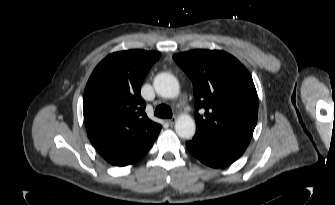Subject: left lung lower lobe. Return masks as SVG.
Wrapping results in <instances>:
<instances>
[{
  "mask_svg": "<svg viewBox=\"0 0 335 205\" xmlns=\"http://www.w3.org/2000/svg\"><path fill=\"white\" fill-rule=\"evenodd\" d=\"M186 147L194 157L213 168L232 164L246 150V147L223 143L200 134H195Z\"/></svg>",
  "mask_w": 335,
  "mask_h": 205,
  "instance_id": "obj_1",
  "label": "left lung lower lobe"
}]
</instances>
